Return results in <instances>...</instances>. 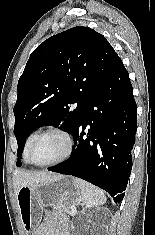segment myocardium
<instances>
[{
    "label": "myocardium",
    "instance_id": "myocardium-1",
    "mask_svg": "<svg viewBox=\"0 0 155 235\" xmlns=\"http://www.w3.org/2000/svg\"><path fill=\"white\" fill-rule=\"evenodd\" d=\"M51 133L59 134L65 139V141H66V151L64 152V154L60 158H58V159H56L52 162L45 163V164L35 163L31 159V151H32V148H33L34 144L41 137H43L47 134H51ZM74 148H75V140H74L72 134L65 128H62V127H59V126H52V127L46 128L45 130H42V131L38 132L37 135L34 137V139L32 140V142L29 145L28 150H27V160L30 164H32L34 166H37V167L56 166V165H59V164L65 162V161H67L71 157V155L73 154Z\"/></svg>",
    "mask_w": 155,
    "mask_h": 235
}]
</instances>
